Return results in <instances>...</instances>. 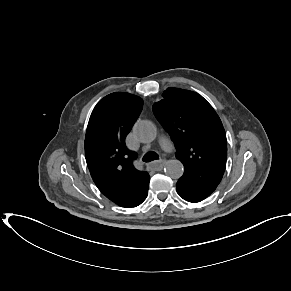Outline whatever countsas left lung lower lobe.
I'll return each mask as SVG.
<instances>
[{"label": "left lung lower lobe", "mask_w": 291, "mask_h": 291, "mask_svg": "<svg viewBox=\"0 0 291 291\" xmlns=\"http://www.w3.org/2000/svg\"><path fill=\"white\" fill-rule=\"evenodd\" d=\"M176 190L179 196L188 202H200L208 197L207 195L193 192L179 183L176 184Z\"/></svg>", "instance_id": "1"}]
</instances>
